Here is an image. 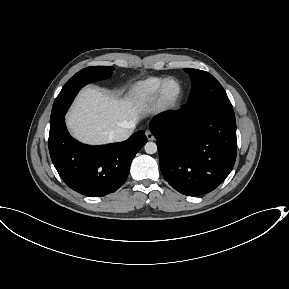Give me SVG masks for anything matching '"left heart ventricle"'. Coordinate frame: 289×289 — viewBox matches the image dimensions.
<instances>
[{
    "mask_svg": "<svg viewBox=\"0 0 289 289\" xmlns=\"http://www.w3.org/2000/svg\"><path fill=\"white\" fill-rule=\"evenodd\" d=\"M177 92V85L174 82H171L167 85L166 87V95L169 97H172L176 94Z\"/></svg>",
    "mask_w": 289,
    "mask_h": 289,
    "instance_id": "b2bd125f",
    "label": "left heart ventricle"
}]
</instances>
